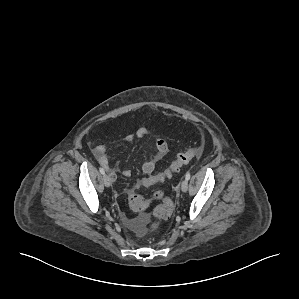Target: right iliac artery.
<instances>
[{
    "mask_svg": "<svg viewBox=\"0 0 299 299\" xmlns=\"http://www.w3.org/2000/svg\"><path fill=\"white\" fill-rule=\"evenodd\" d=\"M99 171H100L101 174H105V171H104L103 168L100 167V168H99Z\"/></svg>",
    "mask_w": 299,
    "mask_h": 299,
    "instance_id": "obj_1",
    "label": "right iliac artery"
}]
</instances>
